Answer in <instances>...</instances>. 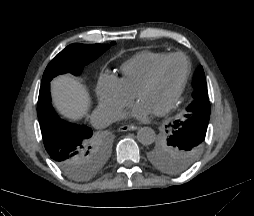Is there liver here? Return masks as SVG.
<instances>
[{"instance_id":"6515ba94","label":"liver","mask_w":254,"mask_h":216,"mask_svg":"<svg viewBox=\"0 0 254 216\" xmlns=\"http://www.w3.org/2000/svg\"><path fill=\"white\" fill-rule=\"evenodd\" d=\"M53 104L66 118L77 120L86 115L90 97L86 88L70 75H60L51 82Z\"/></svg>"}]
</instances>
